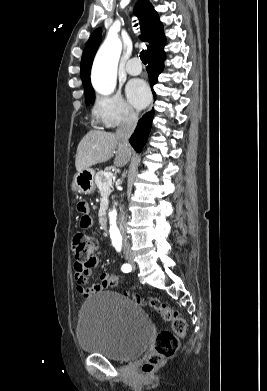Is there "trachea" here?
<instances>
[{
    "label": "trachea",
    "mask_w": 267,
    "mask_h": 391,
    "mask_svg": "<svg viewBox=\"0 0 267 391\" xmlns=\"http://www.w3.org/2000/svg\"><path fill=\"white\" fill-rule=\"evenodd\" d=\"M137 26V24H135ZM140 59L144 64H147V53L146 50H142L140 53Z\"/></svg>",
    "instance_id": "3493384b"
}]
</instances>
